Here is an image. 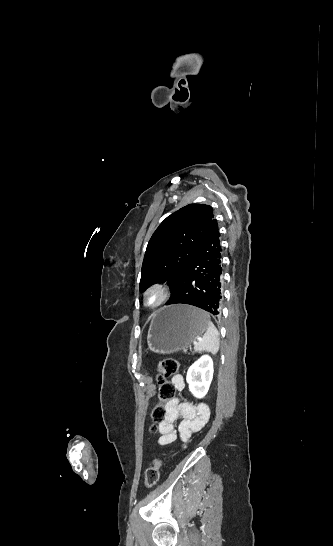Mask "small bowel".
Segmentation results:
<instances>
[{
	"label": "small bowel",
	"mask_w": 333,
	"mask_h": 546,
	"mask_svg": "<svg viewBox=\"0 0 333 546\" xmlns=\"http://www.w3.org/2000/svg\"><path fill=\"white\" fill-rule=\"evenodd\" d=\"M171 381L178 391L185 389V379L181 374L173 376ZM178 419L181 422L176 428ZM209 419L210 409L206 404L181 402L178 398H173L166 403L165 417L158 425V444L169 445L180 437L185 447L192 434L202 430Z\"/></svg>",
	"instance_id": "c3829d8e"
}]
</instances>
